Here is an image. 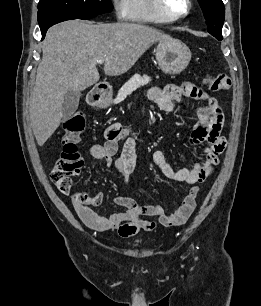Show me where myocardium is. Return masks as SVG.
I'll return each instance as SVG.
<instances>
[{
	"label": "myocardium",
	"mask_w": 261,
	"mask_h": 306,
	"mask_svg": "<svg viewBox=\"0 0 261 306\" xmlns=\"http://www.w3.org/2000/svg\"><path fill=\"white\" fill-rule=\"evenodd\" d=\"M185 1H186V4H187V8L183 13H180V14L171 13L170 10L167 7L166 0H156V5H157V8L160 11V13L163 16H165L168 20L177 21V20L183 19L186 16H188L189 13L192 10V7H193L192 0H185Z\"/></svg>",
	"instance_id": "obj_1"
}]
</instances>
